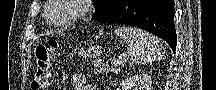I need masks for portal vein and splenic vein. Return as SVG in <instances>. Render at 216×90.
<instances>
[{
	"mask_svg": "<svg viewBox=\"0 0 216 90\" xmlns=\"http://www.w3.org/2000/svg\"><path fill=\"white\" fill-rule=\"evenodd\" d=\"M118 64H119V66H121V64H123V62H117V64H115V66H118Z\"/></svg>",
	"mask_w": 216,
	"mask_h": 90,
	"instance_id": "obj_1",
	"label": "portal vein and splenic vein"
}]
</instances>
